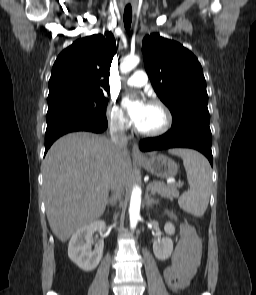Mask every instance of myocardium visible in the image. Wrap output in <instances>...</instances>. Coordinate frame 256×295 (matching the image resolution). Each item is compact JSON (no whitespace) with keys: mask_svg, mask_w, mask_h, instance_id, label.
<instances>
[{"mask_svg":"<svg viewBox=\"0 0 256 295\" xmlns=\"http://www.w3.org/2000/svg\"><path fill=\"white\" fill-rule=\"evenodd\" d=\"M149 105L156 107L157 109L160 110V112L163 115V122L158 128L152 129V130H141L136 127V132L142 136H147V137H155V136L163 135L170 129L172 125V115L169 109L158 99L150 100Z\"/></svg>","mask_w":256,"mask_h":295,"instance_id":"1","label":"myocardium"}]
</instances>
